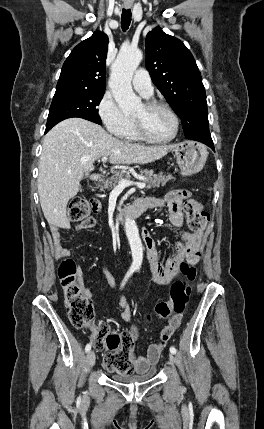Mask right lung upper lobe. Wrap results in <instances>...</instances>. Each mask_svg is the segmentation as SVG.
<instances>
[{"label":"right lung upper lobe","mask_w":264,"mask_h":429,"mask_svg":"<svg viewBox=\"0 0 264 429\" xmlns=\"http://www.w3.org/2000/svg\"><path fill=\"white\" fill-rule=\"evenodd\" d=\"M108 36L96 31L79 43L63 64L56 87L63 89H84L105 91V60Z\"/></svg>","instance_id":"cb5924a9"}]
</instances>
